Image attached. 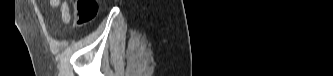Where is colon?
Listing matches in <instances>:
<instances>
[{
    "instance_id": "colon-1",
    "label": "colon",
    "mask_w": 333,
    "mask_h": 76,
    "mask_svg": "<svg viewBox=\"0 0 333 76\" xmlns=\"http://www.w3.org/2000/svg\"><path fill=\"white\" fill-rule=\"evenodd\" d=\"M96 0H78L76 2V21L79 26L92 22L98 14Z\"/></svg>"
}]
</instances>
